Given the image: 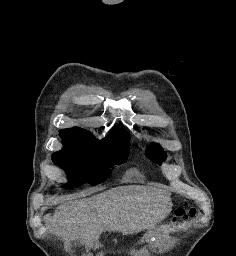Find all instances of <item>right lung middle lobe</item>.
I'll use <instances>...</instances> for the list:
<instances>
[{
  "mask_svg": "<svg viewBox=\"0 0 236 256\" xmlns=\"http://www.w3.org/2000/svg\"><path fill=\"white\" fill-rule=\"evenodd\" d=\"M64 148L52 155L55 164L64 168L69 183L65 188L105 181L110 167L122 164L128 156V142H103L71 135H60Z\"/></svg>",
  "mask_w": 236,
  "mask_h": 256,
  "instance_id": "1",
  "label": "right lung middle lobe"
}]
</instances>
